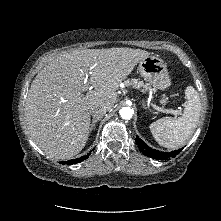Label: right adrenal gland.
Here are the masks:
<instances>
[{
    "mask_svg": "<svg viewBox=\"0 0 221 221\" xmlns=\"http://www.w3.org/2000/svg\"><path fill=\"white\" fill-rule=\"evenodd\" d=\"M99 120H100V118H94V119L92 120V123H91V125H90V132L94 129L96 123H97Z\"/></svg>",
    "mask_w": 221,
    "mask_h": 221,
    "instance_id": "obj_1",
    "label": "right adrenal gland"
}]
</instances>
